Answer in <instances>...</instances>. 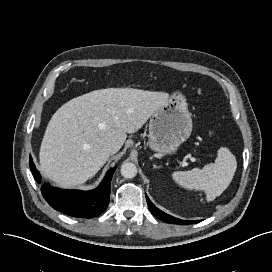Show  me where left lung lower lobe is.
<instances>
[{
    "label": "left lung lower lobe",
    "mask_w": 272,
    "mask_h": 272,
    "mask_svg": "<svg viewBox=\"0 0 272 272\" xmlns=\"http://www.w3.org/2000/svg\"><path fill=\"white\" fill-rule=\"evenodd\" d=\"M146 201H147L148 207L151 210L152 214L162 221H165L168 223L180 224V225L194 224V223L200 222V221H186V220H181V219L175 218V217L170 216V215L164 213L163 211L159 210L150 201V199L147 196H146Z\"/></svg>",
    "instance_id": "left-lung-lower-lobe-1"
}]
</instances>
